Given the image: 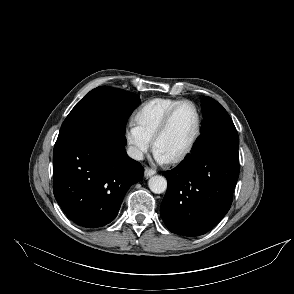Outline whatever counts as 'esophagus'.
<instances>
[{
  "mask_svg": "<svg viewBox=\"0 0 294 294\" xmlns=\"http://www.w3.org/2000/svg\"><path fill=\"white\" fill-rule=\"evenodd\" d=\"M156 174V171L150 167H145V170H144V176L146 178H149L151 177L152 175Z\"/></svg>",
  "mask_w": 294,
  "mask_h": 294,
  "instance_id": "1",
  "label": "esophagus"
}]
</instances>
